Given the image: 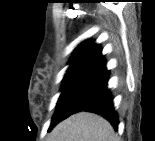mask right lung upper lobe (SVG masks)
I'll use <instances>...</instances> for the list:
<instances>
[{
    "mask_svg": "<svg viewBox=\"0 0 155 141\" xmlns=\"http://www.w3.org/2000/svg\"><path fill=\"white\" fill-rule=\"evenodd\" d=\"M105 64L101 48L93 41H84L73 53L70 60V67L67 72L73 71H98Z\"/></svg>",
    "mask_w": 155,
    "mask_h": 141,
    "instance_id": "obj_1",
    "label": "right lung upper lobe"
}]
</instances>
